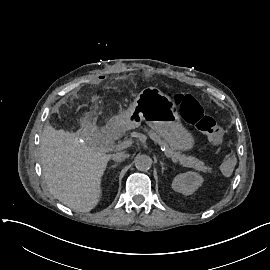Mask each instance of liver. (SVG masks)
I'll return each instance as SVG.
<instances>
[{
  "mask_svg": "<svg viewBox=\"0 0 270 270\" xmlns=\"http://www.w3.org/2000/svg\"><path fill=\"white\" fill-rule=\"evenodd\" d=\"M43 175L49 192L70 208L83 212L101 196V177L110 160L92 140L78 142L75 133L46 125L40 135Z\"/></svg>",
  "mask_w": 270,
  "mask_h": 270,
  "instance_id": "liver-1",
  "label": "liver"
}]
</instances>
